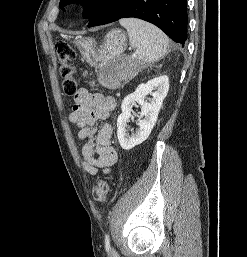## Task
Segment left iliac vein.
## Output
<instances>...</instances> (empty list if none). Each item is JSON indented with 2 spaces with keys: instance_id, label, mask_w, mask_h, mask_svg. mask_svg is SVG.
<instances>
[{
  "instance_id": "1",
  "label": "left iliac vein",
  "mask_w": 247,
  "mask_h": 257,
  "mask_svg": "<svg viewBox=\"0 0 247 257\" xmlns=\"http://www.w3.org/2000/svg\"><path fill=\"white\" fill-rule=\"evenodd\" d=\"M114 254H115V252L114 251H112V255L114 256Z\"/></svg>"
}]
</instances>
